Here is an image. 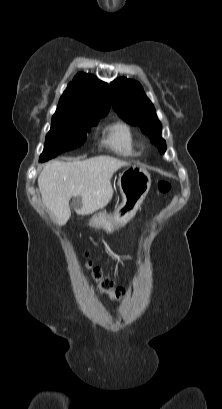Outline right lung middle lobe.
Masks as SVG:
<instances>
[{"instance_id":"right-lung-middle-lobe-1","label":"right lung middle lobe","mask_w":222,"mask_h":409,"mask_svg":"<svg viewBox=\"0 0 222 409\" xmlns=\"http://www.w3.org/2000/svg\"><path fill=\"white\" fill-rule=\"evenodd\" d=\"M107 112L93 109L56 112L52 117V126L46 135L44 151L39 161H47L82 145L91 126L96 125Z\"/></svg>"}]
</instances>
